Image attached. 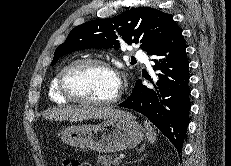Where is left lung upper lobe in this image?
<instances>
[{"mask_svg": "<svg viewBox=\"0 0 231 166\" xmlns=\"http://www.w3.org/2000/svg\"><path fill=\"white\" fill-rule=\"evenodd\" d=\"M176 26L170 14L149 7L133 8L113 18L92 20L71 30L66 41L55 50L50 65H54L61 56L77 50H118L122 43L140 44L150 54Z\"/></svg>", "mask_w": 231, "mask_h": 166, "instance_id": "left-lung-upper-lobe-1", "label": "left lung upper lobe"}]
</instances>
